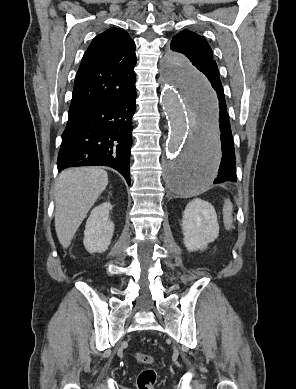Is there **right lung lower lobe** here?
<instances>
[{"label": "right lung lower lobe", "mask_w": 296, "mask_h": 389, "mask_svg": "<svg viewBox=\"0 0 296 389\" xmlns=\"http://www.w3.org/2000/svg\"><path fill=\"white\" fill-rule=\"evenodd\" d=\"M135 80L117 99L69 116L58 154V171L104 165L116 169L130 185Z\"/></svg>", "instance_id": "98d812e1"}]
</instances>
